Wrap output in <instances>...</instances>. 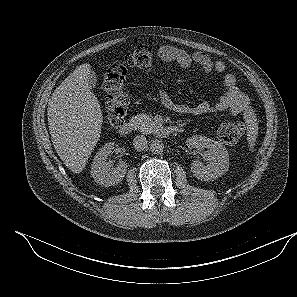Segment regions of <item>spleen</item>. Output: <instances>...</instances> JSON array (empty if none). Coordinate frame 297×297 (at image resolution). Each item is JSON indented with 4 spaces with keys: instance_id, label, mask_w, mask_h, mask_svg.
I'll list each match as a JSON object with an SVG mask.
<instances>
[{
    "instance_id": "spleen-1",
    "label": "spleen",
    "mask_w": 297,
    "mask_h": 297,
    "mask_svg": "<svg viewBox=\"0 0 297 297\" xmlns=\"http://www.w3.org/2000/svg\"><path fill=\"white\" fill-rule=\"evenodd\" d=\"M247 123H248L247 139L249 141L250 147H253L258 133L257 121L253 114H250L248 116Z\"/></svg>"
}]
</instances>
